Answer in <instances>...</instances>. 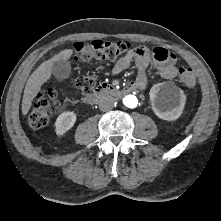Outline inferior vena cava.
Masks as SVG:
<instances>
[{"label":"inferior vena cava","instance_id":"inferior-vena-cava-1","mask_svg":"<svg viewBox=\"0 0 221 221\" xmlns=\"http://www.w3.org/2000/svg\"><path fill=\"white\" fill-rule=\"evenodd\" d=\"M116 105V100L112 96H104L99 101V109L101 111L112 110Z\"/></svg>","mask_w":221,"mask_h":221}]
</instances>
